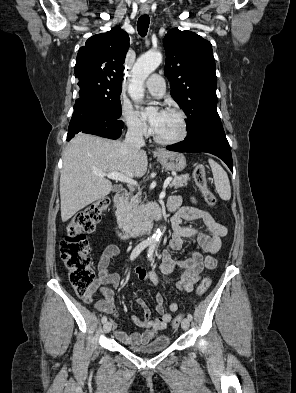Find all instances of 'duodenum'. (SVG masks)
<instances>
[{
    "label": "duodenum",
    "instance_id": "410a0bca",
    "mask_svg": "<svg viewBox=\"0 0 296 393\" xmlns=\"http://www.w3.org/2000/svg\"><path fill=\"white\" fill-rule=\"evenodd\" d=\"M127 194V190L120 189L114 195L112 206V221L114 230L121 239H128L130 237L139 235H148L151 231L152 222L162 218V209L157 205H148L145 209V222L143 225L123 229L121 226V206L125 201Z\"/></svg>",
    "mask_w": 296,
    "mask_h": 393
}]
</instances>
